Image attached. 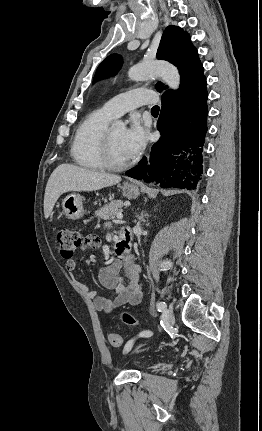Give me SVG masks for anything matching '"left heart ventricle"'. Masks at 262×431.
Listing matches in <instances>:
<instances>
[{"mask_svg":"<svg viewBox=\"0 0 262 431\" xmlns=\"http://www.w3.org/2000/svg\"><path fill=\"white\" fill-rule=\"evenodd\" d=\"M124 129H111V146L114 158L120 162L129 161V158L125 155L122 149L121 141L124 135Z\"/></svg>","mask_w":262,"mask_h":431,"instance_id":"1","label":"left heart ventricle"}]
</instances>
